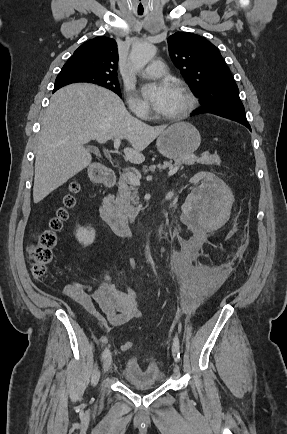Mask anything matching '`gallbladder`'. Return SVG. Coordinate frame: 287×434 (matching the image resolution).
<instances>
[{
	"instance_id": "gallbladder-1",
	"label": "gallbladder",
	"mask_w": 287,
	"mask_h": 434,
	"mask_svg": "<svg viewBox=\"0 0 287 434\" xmlns=\"http://www.w3.org/2000/svg\"><path fill=\"white\" fill-rule=\"evenodd\" d=\"M91 149V151H94V148H90Z\"/></svg>"
}]
</instances>
